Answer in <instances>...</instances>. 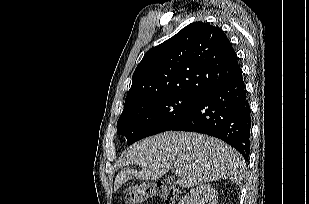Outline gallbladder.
I'll return each mask as SVG.
<instances>
[{"label": "gallbladder", "mask_w": 309, "mask_h": 204, "mask_svg": "<svg viewBox=\"0 0 309 204\" xmlns=\"http://www.w3.org/2000/svg\"><path fill=\"white\" fill-rule=\"evenodd\" d=\"M168 180H169V181H172L173 179H172V178H169Z\"/></svg>", "instance_id": "gallbladder-1"}]
</instances>
